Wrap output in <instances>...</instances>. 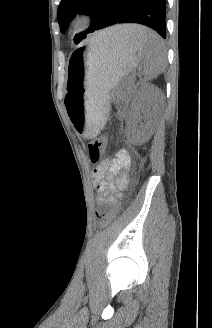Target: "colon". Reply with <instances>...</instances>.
<instances>
[{
  "instance_id": "obj_1",
  "label": "colon",
  "mask_w": 212,
  "mask_h": 328,
  "mask_svg": "<svg viewBox=\"0 0 212 328\" xmlns=\"http://www.w3.org/2000/svg\"><path fill=\"white\" fill-rule=\"evenodd\" d=\"M106 146H107V139L105 137H100L95 140H92L88 144L87 150H88L90 161L92 163H97L100 160L102 154L106 149ZM119 209H120V204L108 210L105 209L98 210L97 216L99 217L100 220V226L101 227L108 226L117 215Z\"/></svg>"
}]
</instances>
